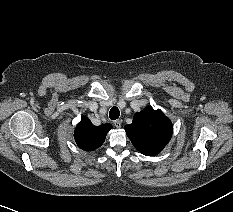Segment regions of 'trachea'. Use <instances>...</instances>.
I'll return each instance as SVG.
<instances>
[{"label":"trachea","mask_w":233,"mask_h":212,"mask_svg":"<svg viewBox=\"0 0 233 212\" xmlns=\"http://www.w3.org/2000/svg\"><path fill=\"white\" fill-rule=\"evenodd\" d=\"M119 115H120V111L116 106L110 109V112H109L110 119L115 120L119 117Z\"/></svg>","instance_id":"1"}]
</instances>
